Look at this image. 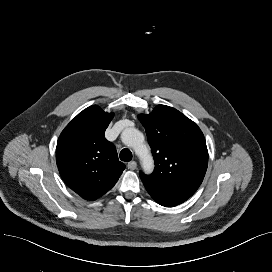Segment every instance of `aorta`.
Segmentation results:
<instances>
[{
  "label": "aorta",
  "instance_id": "1",
  "mask_svg": "<svg viewBox=\"0 0 272 272\" xmlns=\"http://www.w3.org/2000/svg\"><path fill=\"white\" fill-rule=\"evenodd\" d=\"M142 137L139 130L135 128L125 129L121 134L122 142L127 145L135 146L136 152L140 157L142 167L146 173H151L153 170V160L148 150L142 144H137V141ZM145 148V152H140L141 149Z\"/></svg>",
  "mask_w": 272,
  "mask_h": 272
}]
</instances>
